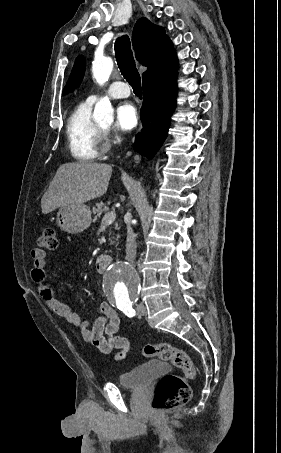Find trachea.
<instances>
[{
	"label": "trachea",
	"mask_w": 281,
	"mask_h": 453,
	"mask_svg": "<svg viewBox=\"0 0 281 453\" xmlns=\"http://www.w3.org/2000/svg\"><path fill=\"white\" fill-rule=\"evenodd\" d=\"M115 57L118 63V68L121 71L123 77L133 88L134 93L142 97L141 79L135 60L133 58V52L131 50V42L127 35H123L116 39L115 42Z\"/></svg>",
	"instance_id": "trachea-1"
}]
</instances>
